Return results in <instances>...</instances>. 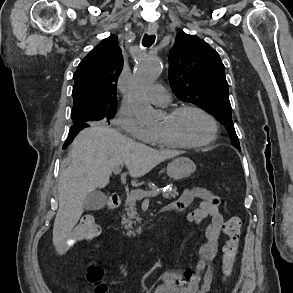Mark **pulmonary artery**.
<instances>
[{"instance_id": "e3ab8cb5", "label": "pulmonary artery", "mask_w": 293, "mask_h": 293, "mask_svg": "<svg viewBox=\"0 0 293 293\" xmlns=\"http://www.w3.org/2000/svg\"><path fill=\"white\" fill-rule=\"evenodd\" d=\"M147 99L156 106H167L170 103V94L161 84H155L150 87L147 93Z\"/></svg>"}]
</instances>
